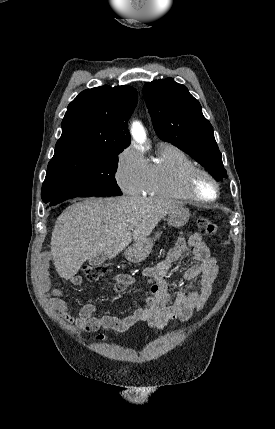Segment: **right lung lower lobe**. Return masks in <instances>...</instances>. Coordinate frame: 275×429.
<instances>
[{"label":"right lung lower lobe","mask_w":275,"mask_h":429,"mask_svg":"<svg viewBox=\"0 0 275 429\" xmlns=\"http://www.w3.org/2000/svg\"><path fill=\"white\" fill-rule=\"evenodd\" d=\"M74 197H80V196H77V195L61 196V197H58V198L50 201L49 203H50V206H52V205H56V204H58L60 202H63L64 200H67V199H70V198H74Z\"/></svg>","instance_id":"98d812e1"}]
</instances>
